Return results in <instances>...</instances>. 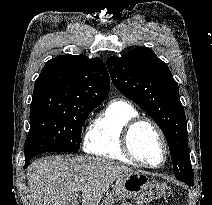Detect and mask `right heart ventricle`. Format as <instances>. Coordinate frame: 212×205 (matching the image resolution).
<instances>
[{"label":"right heart ventricle","instance_id":"1","mask_svg":"<svg viewBox=\"0 0 212 205\" xmlns=\"http://www.w3.org/2000/svg\"><path fill=\"white\" fill-rule=\"evenodd\" d=\"M139 113L129 102L121 99L111 101L92 122L84 142L86 152L128 164H136L122 148L125 126Z\"/></svg>","mask_w":212,"mask_h":205}]
</instances>
